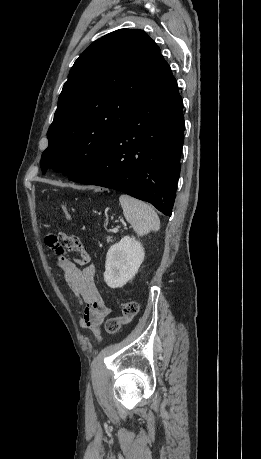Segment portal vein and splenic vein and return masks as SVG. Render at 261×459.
I'll use <instances>...</instances> for the list:
<instances>
[{
	"label": "portal vein and splenic vein",
	"instance_id": "1",
	"mask_svg": "<svg viewBox=\"0 0 261 459\" xmlns=\"http://www.w3.org/2000/svg\"><path fill=\"white\" fill-rule=\"evenodd\" d=\"M118 231H119L118 228H114V229H113V232H114V233H117Z\"/></svg>",
	"mask_w": 261,
	"mask_h": 459
}]
</instances>
